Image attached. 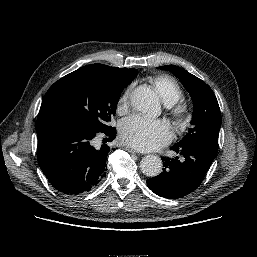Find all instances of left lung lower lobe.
Instances as JSON below:
<instances>
[{
    "label": "left lung lower lobe",
    "mask_w": 257,
    "mask_h": 257,
    "mask_svg": "<svg viewBox=\"0 0 257 257\" xmlns=\"http://www.w3.org/2000/svg\"><path fill=\"white\" fill-rule=\"evenodd\" d=\"M178 156L162 157L164 170L147 180V186L165 198H182L193 192L211 166L217 148L205 143H176L171 147Z\"/></svg>",
    "instance_id": "1"
}]
</instances>
